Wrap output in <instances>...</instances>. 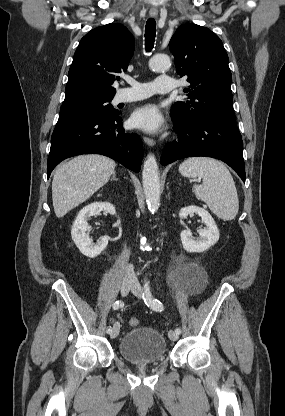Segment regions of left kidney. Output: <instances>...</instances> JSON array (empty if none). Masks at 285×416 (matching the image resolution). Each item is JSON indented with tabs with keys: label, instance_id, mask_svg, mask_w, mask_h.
<instances>
[{
	"label": "left kidney",
	"instance_id": "obj_1",
	"mask_svg": "<svg viewBox=\"0 0 285 416\" xmlns=\"http://www.w3.org/2000/svg\"><path fill=\"white\" fill-rule=\"evenodd\" d=\"M188 214H198L202 222H204L205 230H198L200 238H194L188 230H182L180 234L182 246L186 252H205L211 246H214L219 240V230L209 212L198 208V206H188L181 208L179 212L180 218H187Z\"/></svg>",
	"mask_w": 285,
	"mask_h": 416
}]
</instances>
